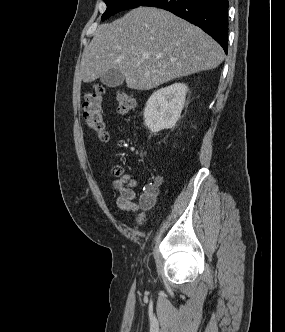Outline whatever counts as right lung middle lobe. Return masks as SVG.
Wrapping results in <instances>:
<instances>
[{"label": "right lung middle lobe", "mask_w": 285, "mask_h": 332, "mask_svg": "<svg viewBox=\"0 0 285 332\" xmlns=\"http://www.w3.org/2000/svg\"><path fill=\"white\" fill-rule=\"evenodd\" d=\"M107 9L102 15V21L114 15L115 13L140 6L146 0H104Z\"/></svg>", "instance_id": "dd1d6c3e"}]
</instances>
